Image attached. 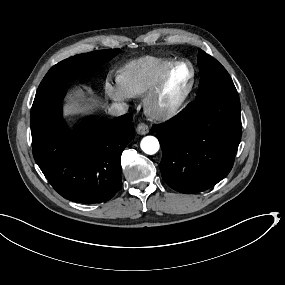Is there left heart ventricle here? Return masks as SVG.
<instances>
[{
    "label": "left heart ventricle",
    "mask_w": 285,
    "mask_h": 285,
    "mask_svg": "<svg viewBox=\"0 0 285 285\" xmlns=\"http://www.w3.org/2000/svg\"><path fill=\"white\" fill-rule=\"evenodd\" d=\"M186 85L187 82L183 79L181 74L172 76L163 91L156 97L154 109L158 110L174 104L184 92Z\"/></svg>",
    "instance_id": "left-heart-ventricle-1"
}]
</instances>
